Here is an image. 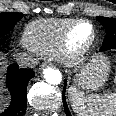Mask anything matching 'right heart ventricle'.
Instances as JSON below:
<instances>
[{
    "mask_svg": "<svg viewBox=\"0 0 116 116\" xmlns=\"http://www.w3.org/2000/svg\"><path fill=\"white\" fill-rule=\"evenodd\" d=\"M73 21L75 19L72 18H48L33 21L25 27L22 43L37 54H51L56 49L61 33Z\"/></svg>",
    "mask_w": 116,
    "mask_h": 116,
    "instance_id": "e07e8e85",
    "label": "right heart ventricle"
}]
</instances>
